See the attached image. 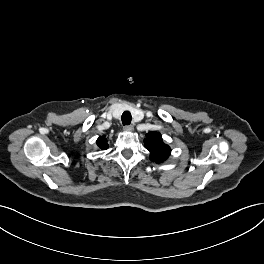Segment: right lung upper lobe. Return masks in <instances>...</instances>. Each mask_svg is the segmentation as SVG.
Listing matches in <instances>:
<instances>
[{
	"mask_svg": "<svg viewBox=\"0 0 264 264\" xmlns=\"http://www.w3.org/2000/svg\"><path fill=\"white\" fill-rule=\"evenodd\" d=\"M96 143H97L98 149H100V150H106L109 147L106 138L103 136L99 137L97 139Z\"/></svg>",
	"mask_w": 264,
	"mask_h": 264,
	"instance_id": "obj_1",
	"label": "right lung upper lobe"
}]
</instances>
